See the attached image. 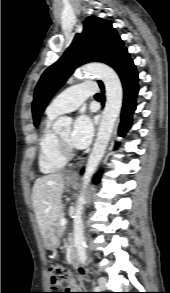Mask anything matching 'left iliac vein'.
Here are the masks:
<instances>
[{"label":"left iliac vein","mask_w":170,"mask_h":293,"mask_svg":"<svg viewBox=\"0 0 170 293\" xmlns=\"http://www.w3.org/2000/svg\"><path fill=\"white\" fill-rule=\"evenodd\" d=\"M99 286L102 290L106 289L107 279L105 277H100L98 279Z\"/></svg>","instance_id":"obj_1"}]
</instances>
